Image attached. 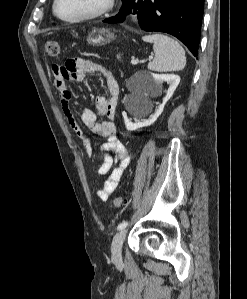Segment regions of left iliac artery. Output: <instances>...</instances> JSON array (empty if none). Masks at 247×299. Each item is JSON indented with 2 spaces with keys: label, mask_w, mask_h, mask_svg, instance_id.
I'll return each mask as SVG.
<instances>
[{
  "label": "left iliac artery",
  "mask_w": 247,
  "mask_h": 299,
  "mask_svg": "<svg viewBox=\"0 0 247 299\" xmlns=\"http://www.w3.org/2000/svg\"><path fill=\"white\" fill-rule=\"evenodd\" d=\"M127 225H128V222H127V221H123V222H121V223L118 225L117 229H118V230L124 229V228H126Z\"/></svg>",
  "instance_id": "1"
}]
</instances>
